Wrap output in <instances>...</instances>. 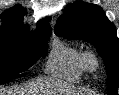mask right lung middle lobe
<instances>
[{
	"label": "right lung middle lobe",
	"mask_w": 119,
	"mask_h": 95,
	"mask_svg": "<svg viewBox=\"0 0 119 95\" xmlns=\"http://www.w3.org/2000/svg\"><path fill=\"white\" fill-rule=\"evenodd\" d=\"M50 35L51 32L0 35V84L9 82L45 56Z\"/></svg>",
	"instance_id": "dd1d6c3e"
}]
</instances>
